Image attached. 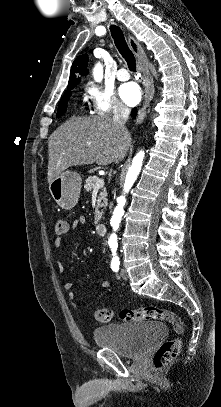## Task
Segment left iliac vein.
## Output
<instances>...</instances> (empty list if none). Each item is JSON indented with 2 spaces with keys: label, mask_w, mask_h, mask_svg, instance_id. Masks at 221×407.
<instances>
[{
  "label": "left iliac vein",
  "mask_w": 221,
  "mask_h": 407,
  "mask_svg": "<svg viewBox=\"0 0 221 407\" xmlns=\"http://www.w3.org/2000/svg\"><path fill=\"white\" fill-rule=\"evenodd\" d=\"M121 277H122V279L123 280H127L128 279V273L126 272V270L125 269H122V271H121Z\"/></svg>",
  "instance_id": "4c4485c4"
}]
</instances>
